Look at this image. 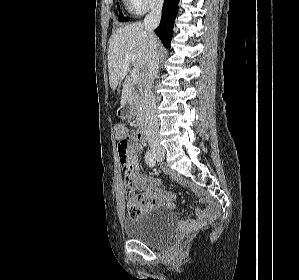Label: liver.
I'll return each instance as SVG.
<instances>
[{"mask_svg":"<svg viewBox=\"0 0 299 280\" xmlns=\"http://www.w3.org/2000/svg\"><path fill=\"white\" fill-rule=\"evenodd\" d=\"M126 53L134 54L135 60L133 61V65L136 69L140 68L145 72L147 71L149 43L144 25L140 22L117 28L110 38L108 70L109 82L112 89L117 87L119 81L127 75L129 70L130 62L125 59ZM131 95V82L129 78H126L123 84L120 108L129 102Z\"/></svg>","mask_w":299,"mask_h":280,"instance_id":"1","label":"liver"}]
</instances>
